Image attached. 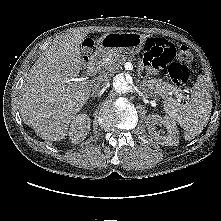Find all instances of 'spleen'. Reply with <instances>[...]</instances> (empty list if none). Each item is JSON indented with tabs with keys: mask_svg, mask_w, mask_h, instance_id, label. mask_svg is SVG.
Instances as JSON below:
<instances>
[{
	"mask_svg": "<svg viewBox=\"0 0 221 221\" xmlns=\"http://www.w3.org/2000/svg\"><path fill=\"white\" fill-rule=\"evenodd\" d=\"M166 118L178 123L184 130L185 140L194 139L207 125L212 109V99L208 87L198 81L190 101L180 104L172 98L164 101Z\"/></svg>",
	"mask_w": 221,
	"mask_h": 221,
	"instance_id": "1",
	"label": "spleen"
}]
</instances>
